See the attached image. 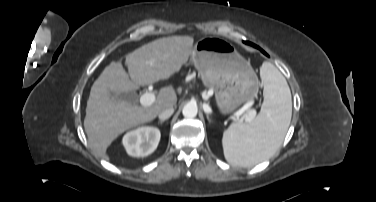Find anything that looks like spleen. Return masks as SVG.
I'll list each match as a JSON object with an SVG mask.
<instances>
[{"mask_svg": "<svg viewBox=\"0 0 376 202\" xmlns=\"http://www.w3.org/2000/svg\"><path fill=\"white\" fill-rule=\"evenodd\" d=\"M264 102L250 124L233 123L224 131L226 160L241 167L253 166L271 157L282 144L292 116L290 88L280 71L265 61L260 67Z\"/></svg>", "mask_w": 376, "mask_h": 202, "instance_id": "1", "label": "spleen"}]
</instances>
